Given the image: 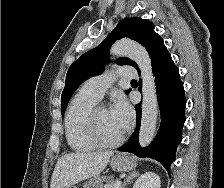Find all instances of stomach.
<instances>
[{
	"mask_svg": "<svg viewBox=\"0 0 224 188\" xmlns=\"http://www.w3.org/2000/svg\"><path fill=\"white\" fill-rule=\"evenodd\" d=\"M110 165L115 171L125 172L134 169L136 167V161L133 157H130L128 155L118 154L112 157ZM68 188H76V186L71 185Z\"/></svg>",
	"mask_w": 224,
	"mask_h": 188,
	"instance_id": "obj_1",
	"label": "stomach"
}]
</instances>
